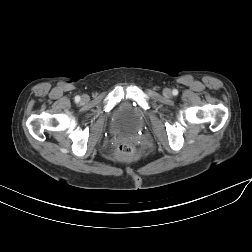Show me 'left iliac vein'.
Returning a JSON list of instances; mask_svg holds the SVG:
<instances>
[{
  "label": "left iliac vein",
  "instance_id": "4c4485c4",
  "mask_svg": "<svg viewBox=\"0 0 252 252\" xmlns=\"http://www.w3.org/2000/svg\"><path fill=\"white\" fill-rule=\"evenodd\" d=\"M163 94H164V96H166V97H170V96L172 95V91H171V89H169V88H165V89L163 90Z\"/></svg>",
  "mask_w": 252,
  "mask_h": 252
}]
</instances>
